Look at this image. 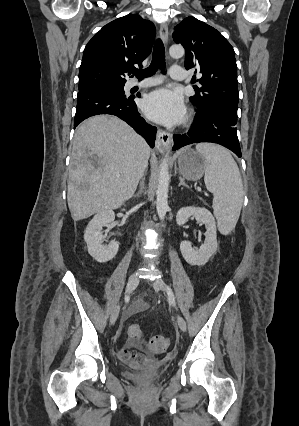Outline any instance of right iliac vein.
<instances>
[{
	"mask_svg": "<svg viewBox=\"0 0 299 426\" xmlns=\"http://www.w3.org/2000/svg\"><path fill=\"white\" fill-rule=\"evenodd\" d=\"M139 283V278L137 276V274H131L128 278L127 281V286H126V293L129 294L131 293L137 286ZM119 312H120V305H117L113 311L111 312L110 315V324L113 325L115 323V321L117 320L118 316H119Z\"/></svg>",
	"mask_w": 299,
	"mask_h": 426,
	"instance_id": "obj_1",
	"label": "right iliac vein"
}]
</instances>
